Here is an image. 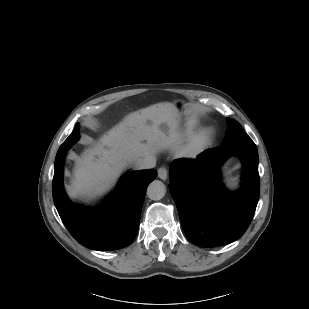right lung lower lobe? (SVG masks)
Instances as JSON below:
<instances>
[{"label": "right lung lower lobe", "mask_w": 309, "mask_h": 309, "mask_svg": "<svg viewBox=\"0 0 309 309\" xmlns=\"http://www.w3.org/2000/svg\"><path fill=\"white\" fill-rule=\"evenodd\" d=\"M65 151L56 155L53 199L60 218L83 246L111 251L131 244L136 236L147 185L156 178L154 169L127 174L104 204L95 208L74 205L63 188Z\"/></svg>", "instance_id": "right-lung-lower-lobe-1"}]
</instances>
